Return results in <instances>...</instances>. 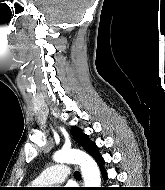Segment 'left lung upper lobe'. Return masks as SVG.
<instances>
[{"label":"left lung upper lobe","mask_w":165,"mask_h":190,"mask_svg":"<svg viewBox=\"0 0 165 190\" xmlns=\"http://www.w3.org/2000/svg\"><path fill=\"white\" fill-rule=\"evenodd\" d=\"M72 136L74 137L75 141L83 146L87 152L92 155L96 160L99 159L101 156L98 152V147L91 142L87 135L82 133V131L76 127H74L71 131Z\"/></svg>","instance_id":"5c2ea615"}]
</instances>
